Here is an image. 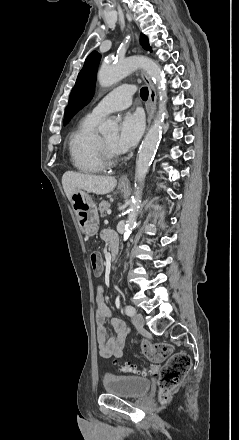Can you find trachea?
Here are the masks:
<instances>
[{
    "instance_id": "1",
    "label": "trachea",
    "mask_w": 239,
    "mask_h": 440,
    "mask_svg": "<svg viewBox=\"0 0 239 440\" xmlns=\"http://www.w3.org/2000/svg\"><path fill=\"white\" fill-rule=\"evenodd\" d=\"M140 95H141V98H143V100H147V98H148V88L147 87L141 88Z\"/></svg>"
}]
</instances>
